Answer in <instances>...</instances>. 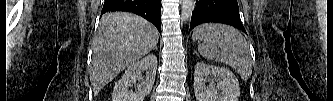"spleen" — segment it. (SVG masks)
Masks as SVG:
<instances>
[{
	"label": "spleen",
	"mask_w": 333,
	"mask_h": 101,
	"mask_svg": "<svg viewBox=\"0 0 333 101\" xmlns=\"http://www.w3.org/2000/svg\"><path fill=\"white\" fill-rule=\"evenodd\" d=\"M192 39L202 42L198 45L201 56L233 67L244 80L250 78L249 46L238 30L228 25L206 23L194 30Z\"/></svg>",
	"instance_id": "3e777b00"
}]
</instances>
